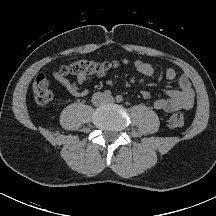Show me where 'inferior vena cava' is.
I'll use <instances>...</instances> for the list:
<instances>
[{"mask_svg": "<svg viewBox=\"0 0 216 216\" xmlns=\"http://www.w3.org/2000/svg\"><path fill=\"white\" fill-rule=\"evenodd\" d=\"M103 94L100 92H97L93 95V104L94 105H99L100 104V100L102 99Z\"/></svg>", "mask_w": 216, "mask_h": 216, "instance_id": "1", "label": "inferior vena cava"}]
</instances>
